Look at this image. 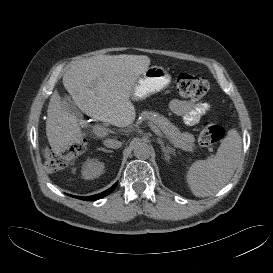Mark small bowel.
I'll return each mask as SVG.
<instances>
[{
    "label": "small bowel",
    "instance_id": "obj_1",
    "mask_svg": "<svg viewBox=\"0 0 273 273\" xmlns=\"http://www.w3.org/2000/svg\"><path fill=\"white\" fill-rule=\"evenodd\" d=\"M170 109L175 114L181 115L188 125L196 124L202 116L210 109L207 102H191L182 100H173L170 103Z\"/></svg>",
    "mask_w": 273,
    "mask_h": 273
}]
</instances>
